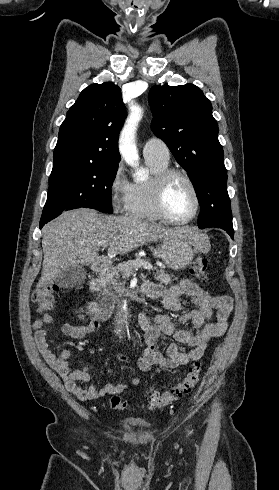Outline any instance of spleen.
<instances>
[{
	"mask_svg": "<svg viewBox=\"0 0 279 490\" xmlns=\"http://www.w3.org/2000/svg\"><path fill=\"white\" fill-rule=\"evenodd\" d=\"M202 252H209L210 246L208 244V238H205V236H202Z\"/></svg>",
	"mask_w": 279,
	"mask_h": 490,
	"instance_id": "3e777b00",
	"label": "spleen"
}]
</instances>
